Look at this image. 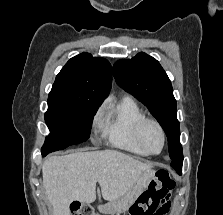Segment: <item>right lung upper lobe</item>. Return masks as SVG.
Listing matches in <instances>:
<instances>
[{
  "label": "right lung upper lobe",
  "mask_w": 223,
  "mask_h": 215,
  "mask_svg": "<svg viewBox=\"0 0 223 215\" xmlns=\"http://www.w3.org/2000/svg\"><path fill=\"white\" fill-rule=\"evenodd\" d=\"M111 83L110 63L81 53L71 58L56 76L48 103L100 106L109 94Z\"/></svg>",
  "instance_id": "obj_1"
}]
</instances>
